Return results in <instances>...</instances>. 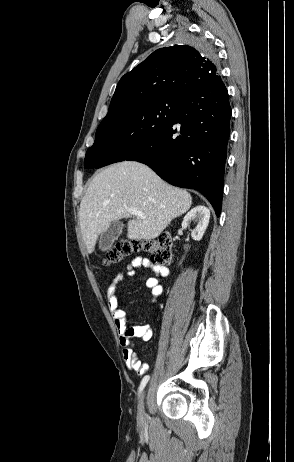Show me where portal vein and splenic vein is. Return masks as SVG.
<instances>
[{
	"label": "portal vein and splenic vein",
	"instance_id": "1",
	"mask_svg": "<svg viewBox=\"0 0 294 462\" xmlns=\"http://www.w3.org/2000/svg\"><path fill=\"white\" fill-rule=\"evenodd\" d=\"M128 212H129V214H131L132 216H136L137 218H141V219L146 218L145 214L143 212L137 210L136 208H129Z\"/></svg>",
	"mask_w": 294,
	"mask_h": 462
}]
</instances>
